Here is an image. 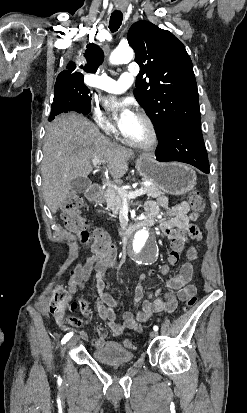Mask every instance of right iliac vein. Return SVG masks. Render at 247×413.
I'll list each match as a JSON object with an SVG mask.
<instances>
[{
    "mask_svg": "<svg viewBox=\"0 0 247 413\" xmlns=\"http://www.w3.org/2000/svg\"><path fill=\"white\" fill-rule=\"evenodd\" d=\"M78 341V337L72 338L68 343H67V349H71Z\"/></svg>",
    "mask_w": 247,
    "mask_h": 413,
    "instance_id": "63e3f726",
    "label": "right iliac vein"
}]
</instances>
